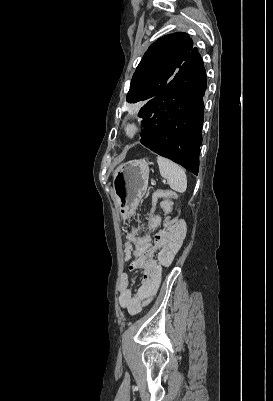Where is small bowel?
<instances>
[{"mask_svg":"<svg viewBox=\"0 0 273 401\" xmlns=\"http://www.w3.org/2000/svg\"><path fill=\"white\" fill-rule=\"evenodd\" d=\"M151 229L159 227L158 215H148L146 218ZM182 241H158L157 234L154 239L149 234H141V227L135 226L125 236V258L131 260L127 272L123 273L118 286V301L120 306L131 315L138 314L144 306L154 298L161 279L162 267L169 266ZM158 253V259L154 258ZM143 271H150L154 277L153 284H139L133 290Z\"/></svg>","mask_w":273,"mask_h":401,"instance_id":"1","label":"small bowel"}]
</instances>
